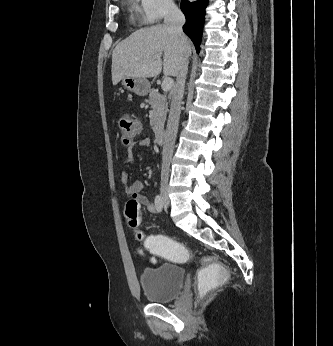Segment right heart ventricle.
Listing matches in <instances>:
<instances>
[{
	"mask_svg": "<svg viewBox=\"0 0 333 346\" xmlns=\"http://www.w3.org/2000/svg\"><path fill=\"white\" fill-rule=\"evenodd\" d=\"M137 0H129L131 5H134L136 3Z\"/></svg>",
	"mask_w": 333,
	"mask_h": 346,
	"instance_id": "e07e8e85",
	"label": "right heart ventricle"
}]
</instances>
